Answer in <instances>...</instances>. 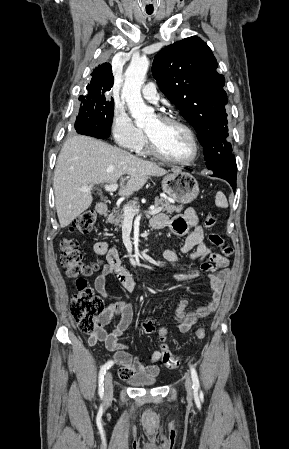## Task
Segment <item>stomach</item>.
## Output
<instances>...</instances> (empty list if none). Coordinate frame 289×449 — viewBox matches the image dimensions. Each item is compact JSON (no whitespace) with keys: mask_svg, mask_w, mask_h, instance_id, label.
I'll use <instances>...</instances> for the list:
<instances>
[{"mask_svg":"<svg viewBox=\"0 0 289 449\" xmlns=\"http://www.w3.org/2000/svg\"><path fill=\"white\" fill-rule=\"evenodd\" d=\"M162 190L176 202L188 204L198 196L199 185L191 174L174 170L162 179Z\"/></svg>","mask_w":289,"mask_h":449,"instance_id":"stomach-1","label":"stomach"}]
</instances>
